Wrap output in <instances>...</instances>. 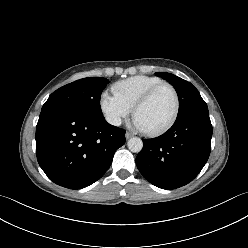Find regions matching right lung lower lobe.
Here are the masks:
<instances>
[{
    "label": "right lung lower lobe",
    "instance_id": "1",
    "mask_svg": "<svg viewBox=\"0 0 248 248\" xmlns=\"http://www.w3.org/2000/svg\"><path fill=\"white\" fill-rule=\"evenodd\" d=\"M124 143V129L72 106L41 110L36 127L40 167L50 180L69 189L87 187L102 177Z\"/></svg>",
    "mask_w": 248,
    "mask_h": 248
}]
</instances>
